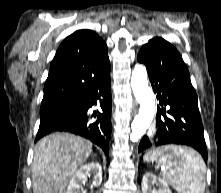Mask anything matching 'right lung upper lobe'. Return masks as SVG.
Segmentation results:
<instances>
[{
    "instance_id": "obj_1",
    "label": "right lung upper lobe",
    "mask_w": 221,
    "mask_h": 193,
    "mask_svg": "<svg viewBox=\"0 0 221 193\" xmlns=\"http://www.w3.org/2000/svg\"><path fill=\"white\" fill-rule=\"evenodd\" d=\"M109 64L107 46L95 32L88 29L74 32L56 52L42 102L77 99L94 76Z\"/></svg>"
}]
</instances>
